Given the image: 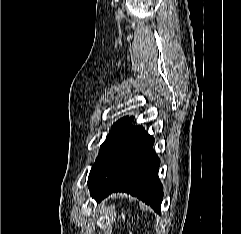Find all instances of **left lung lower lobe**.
Here are the masks:
<instances>
[{
    "label": "left lung lower lobe",
    "mask_w": 241,
    "mask_h": 234,
    "mask_svg": "<svg viewBox=\"0 0 241 234\" xmlns=\"http://www.w3.org/2000/svg\"><path fill=\"white\" fill-rule=\"evenodd\" d=\"M128 118L112 143L89 185L98 202L113 192L136 196L160 213L163 189L158 178L159 158L153 151L154 138Z\"/></svg>",
    "instance_id": "left-lung-lower-lobe-1"
}]
</instances>
